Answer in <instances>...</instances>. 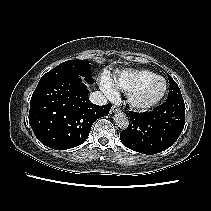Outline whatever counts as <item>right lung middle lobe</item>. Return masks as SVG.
I'll return each instance as SVG.
<instances>
[{
	"mask_svg": "<svg viewBox=\"0 0 211 211\" xmlns=\"http://www.w3.org/2000/svg\"><path fill=\"white\" fill-rule=\"evenodd\" d=\"M90 61H84V60H68L66 62H63L59 64L54 69L47 72L45 75L42 76L39 83L61 78L64 76L69 75H81L85 77V80L89 83L93 82V79L90 75Z\"/></svg>",
	"mask_w": 211,
	"mask_h": 211,
	"instance_id": "1",
	"label": "right lung middle lobe"
}]
</instances>
